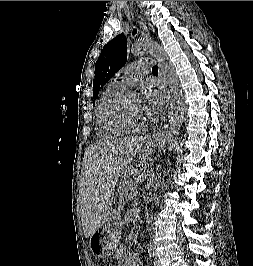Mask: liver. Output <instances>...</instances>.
<instances>
[{
  "label": "liver",
  "instance_id": "liver-1",
  "mask_svg": "<svg viewBox=\"0 0 253 266\" xmlns=\"http://www.w3.org/2000/svg\"><path fill=\"white\" fill-rule=\"evenodd\" d=\"M143 143L141 138L128 137L92 144L86 149L81 189V220L86 238L101 226L111 210L117 181Z\"/></svg>",
  "mask_w": 253,
  "mask_h": 266
}]
</instances>
